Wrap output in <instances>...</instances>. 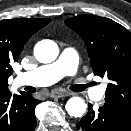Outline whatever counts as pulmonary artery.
Wrapping results in <instances>:
<instances>
[{"label":"pulmonary artery","mask_w":131,"mask_h":131,"mask_svg":"<svg viewBox=\"0 0 131 131\" xmlns=\"http://www.w3.org/2000/svg\"><path fill=\"white\" fill-rule=\"evenodd\" d=\"M78 67V54L72 47L65 48L59 58L50 64L42 65L36 69L20 73L16 81L19 85L47 86L59 81L64 76H72L76 73ZM79 85H87L80 82ZM92 100H100L105 93L106 87L99 85L84 88Z\"/></svg>","instance_id":"e3ab8cb5"}]
</instances>
